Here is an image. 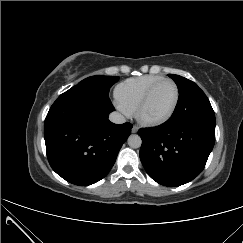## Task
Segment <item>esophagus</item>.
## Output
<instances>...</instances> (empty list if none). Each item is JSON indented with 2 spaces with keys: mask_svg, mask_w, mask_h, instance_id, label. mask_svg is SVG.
<instances>
[{
  "mask_svg": "<svg viewBox=\"0 0 243 243\" xmlns=\"http://www.w3.org/2000/svg\"><path fill=\"white\" fill-rule=\"evenodd\" d=\"M132 133H137L138 131V127L136 125H134L131 129Z\"/></svg>",
  "mask_w": 243,
  "mask_h": 243,
  "instance_id": "esophagus-1",
  "label": "esophagus"
}]
</instances>
